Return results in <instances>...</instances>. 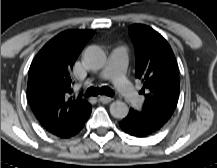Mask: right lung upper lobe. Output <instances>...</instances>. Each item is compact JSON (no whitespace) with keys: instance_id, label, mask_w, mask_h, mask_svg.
I'll return each mask as SVG.
<instances>
[{"instance_id":"right-lung-upper-lobe-1","label":"right lung upper lobe","mask_w":217,"mask_h":168,"mask_svg":"<svg viewBox=\"0 0 217 168\" xmlns=\"http://www.w3.org/2000/svg\"><path fill=\"white\" fill-rule=\"evenodd\" d=\"M92 30H67L51 39L34 58L28 74L31 109L51 134L69 131L91 112L80 96L72 97V68Z\"/></svg>"}]
</instances>
